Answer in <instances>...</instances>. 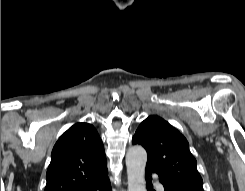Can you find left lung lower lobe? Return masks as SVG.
Segmentation results:
<instances>
[{"mask_svg":"<svg viewBox=\"0 0 245 191\" xmlns=\"http://www.w3.org/2000/svg\"><path fill=\"white\" fill-rule=\"evenodd\" d=\"M152 174H153V172L146 170L145 177H146V181H147L148 191H151V189H152V183H151L152 178H150V176ZM160 182L163 184L165 191H185L184 189L178 188L177 186L172 185L171 183L165 181L162 178H160ZM152 191H155V190H152Z\"/></svg>","mask_w":245,"mask_h":191,"instance_id":"left-lung-lower-lobe-1","label":"left lung lower lobe"}]
</instances>
